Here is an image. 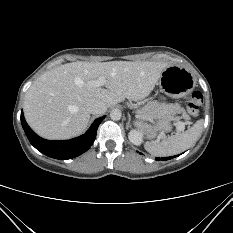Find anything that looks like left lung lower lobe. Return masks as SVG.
Listing matches in <instances>:
<instances>
[{
  "mask_svg": "<svg viewBox=\"0 0 233 233\" xmlns=\"http://www.w3.org/2000/svg\"><path fill=\"white\" fill-rule=\"evenodd\" d=\"M175 156H173V157H164V158H156V160H169V159H172V158H174Z\"/></svg>",
  "mask_w": 233,
  "mask_h": 233,
  "instance_id": "1",
  "label": "left lung lower lobe"
}]
</instances>
